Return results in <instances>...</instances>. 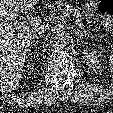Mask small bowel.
<instances>
[{
	"label": "small bowel",
	"mask_w": 113,
	"mask_h": 113,
	"mask_svg": "<svg viewBox=\"0 0 113 113\" xmlns=\"http://www.w3.org/2000/svg\"><path fill=\"white\" fill-rule=\"evenodd\" d=\"M95 11V3L93 1L88 2L84 7V14L87 17H90L94 14Z\"/></svg>",
	"instance_id": "c3829d8e"
}]
</instances>
